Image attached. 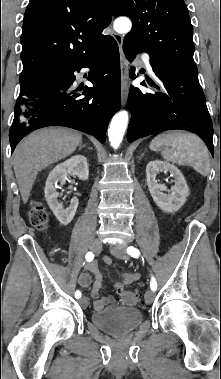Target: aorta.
Here are the masks:
<instances>
[{"label":"aorta","mask_w":221,"mask_h":379,"mask_svg":"<svg viewBox=\"0 0 221 379\" xmlns=\"http://www.w3.org/2000/svg\"><path fill=\"white\" fill-rule=\"evenodd\" d=\"M131 21L126 17L117 18L114 22V29L118 33H127L131 30ZM128 124V112L119 111L116 113L110 123L108 129V137L110 145L117 149L124 137V133Z\"/></svg>","instance_id":"762f6f07"}]
</instances>
